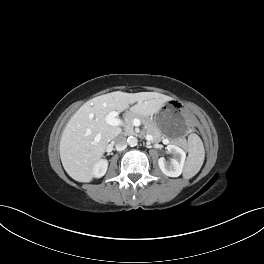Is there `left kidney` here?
Instances as JSON below:
<instances>
[{
    "label": "left kidney",
    "instance_id": "obj_1",
    "mask_svg": "<svg viewBox=\"0 0 264 264\" xmlns=\"http://www.w3.org/2000/svg\"><path fill=\"white\" fill-rule=\"evenodd\" d=\"M167 150L173 155V158H171L170 161H166L164 157L159 158V167L165 175L169 177H178L183 172L186 153L180 147L172 144L167 146Z\"/></svg>",
    "mask_w": 264,
    "mask_h": 264
}]
</instances>
